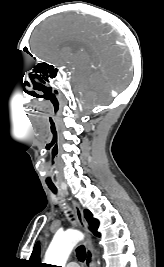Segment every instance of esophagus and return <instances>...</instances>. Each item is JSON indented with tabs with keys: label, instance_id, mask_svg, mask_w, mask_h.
Masks as SVG:
<instances>
[{
	"label": "esophagus",
	"instance_id": "1",
	"mask_svg": "<svg viewBox=\"0 0 164 267\" xmlns=\"http://www.w3.org/2000/svg\"><path fill=\"white\" fill-rule=\"evenodd\" d=\"M72 205H73L77 220L80 224V227L82 228V230L85 232V234L88 236V239H89L90 232L88 229L87 222L84 218L83 211L81 210L80 206L78 205L76 201L72 200ZM85 248H86V267H94L95 266L94 255H93V251H92L89 240L85 242Z\"/></svg>",
	"mask_w": 164,
	"mask_h": 267
}]
</instances>
